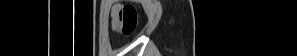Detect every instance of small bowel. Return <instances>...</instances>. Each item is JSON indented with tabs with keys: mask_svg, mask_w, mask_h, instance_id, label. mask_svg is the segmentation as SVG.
<instances>
[{
	"mask_svg": "<svg viewBox=\"0 0 297 56\" xmlns=\"http://www.w3.org/2000/svg\"><path fill=\"white\" fill-rule=\"evenodd\" d=\"M117 7L112 11L111 13V24L113 30L117 31V25H118V16H117Z\"/></svg>",
	"mask_w": 297,
	"mask_h": 56,
	"instance_id": "obj_1",
	"label": "small bowel"
}]
</instances>
